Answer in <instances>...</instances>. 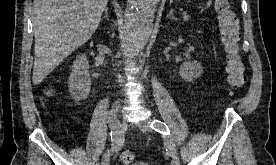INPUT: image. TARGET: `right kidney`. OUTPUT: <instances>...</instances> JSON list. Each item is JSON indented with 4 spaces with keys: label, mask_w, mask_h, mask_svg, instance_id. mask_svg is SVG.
<instances>
[{
    "label": "right kidney",
    "mask_w": 276,
    "mask_h": 165,
    "mask_svg": "<svg viewBox=\"0 0 276 165\" xmlns=\"http://www.w3.org/2000/svg\"><path fill=\"white\" fill-rule=\"evenodd\" d=\"M88 70L89 64L86 55H78L73 62L72 72L68 81L69 93L77 102L85 100L89 95L91 78Z\"/></svg>",
    "instance_id": "right-kidney-1"
}]
</instances>
